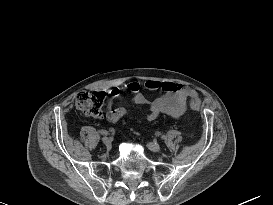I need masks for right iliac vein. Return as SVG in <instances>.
<instances>
[{
	"mask_svg": "<svg viewBox=\"0 0 273 205\" xmlns=\"http://www.w3.org/2000/svg\"><path fill=\"white\" fill-rule=\"evenodd\" d=\"M102 141H103V143H104L107 147L111 146V139H110V138H108V137H103V138H102Z\"/></svg>",
	"mask_w": 273,
	"mask_h": 205,
	"instance_id": "1",
	"label": "right iliac vein"
}]
</instances>
